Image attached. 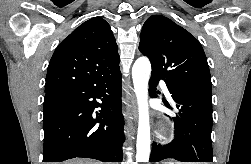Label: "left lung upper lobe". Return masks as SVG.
Wrapping results in <instances>:
<instances>
[{
	"label": "left lung upper lobe",
	"mask_w": 251,
	"mask_h": 164,
	"mask_svg": "<svg viewBox=\"0 0 251 164\" xmlns=\"http://www.w3.org/2000/svg\"><path fill=\"white\" fill-rule=\"evenodd\" d=\"M139 50L152 74L170 82L212 94L210 71L199 41L162 15L150 16L140 34Z\"/></svg>",
	"instance_id": "obj_1"
}]
</instances>
